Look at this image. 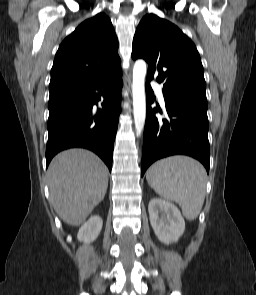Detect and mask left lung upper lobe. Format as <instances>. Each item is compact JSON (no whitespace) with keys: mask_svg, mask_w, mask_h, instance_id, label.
I'll use <instances>...</instances> for the list:
<instances>
[{"mask_svg":"<svg viewBox=\"0 0 256 295\" xmlns=\"http://www.w3.org/2000/svg\"><path fill=\"white\" fill-rule=\"evenodd\" d=\"M132 58L148 64V79L163 83V95L207 106L203 66L194 43L174 24L154 14L143 17Z\"/></svg>","mask_w":256,"mask_h":295,"instance_id":"5c2ea615","label":"left lung upper lobe"}]
</instances>
